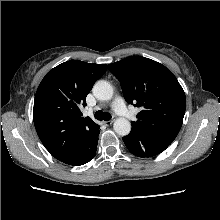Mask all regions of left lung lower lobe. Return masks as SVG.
Instances as JSON below:
<instances>
[{
  "label": "left lung lower lobe",
  "mask_w": 220,
  "mask_h": 220,
  "mask_svg": "<svg viewBox=\"0 0 220 220\" xmlns=\"http://www.w3.org/2000/svg\"><path fill=\"white\" fill-rule=\"evenodd\" d=\"M128 150L138 157H152L164 151L169 145L157 144L138 131H132L123 137Z\"/></svg>",
  "instance_id": "0a47b994"
}]
</instances>
